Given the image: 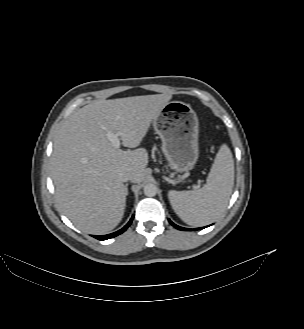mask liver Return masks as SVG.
Listing matches in <instances>:
<instances>
[{
  "mask_svg": "<svg viewBox=\"0 0 304 329\" xmlns=\"http://www.w3.org/2000/svg\"><path fill=\"white\" fill-rule=\"evenodd\" d=\"M170 94L94 101L72 114L53 145L51 176L63 213L81 231L102 235L121 221L127 191L119 174L128 171L140 183L148 153L140 146L152 121L170 101ZM119 134L116 149L107 133Z\"/></svg>",
  "mask_w": 304,
  "mask_h": 329,
  "instance_id": "obj_1",
  "label": "liver"
}]
</instances>
